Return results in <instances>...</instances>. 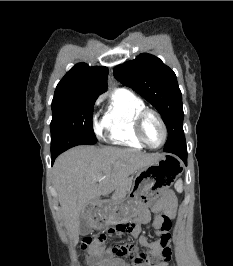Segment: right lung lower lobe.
Here are the masks:
<instances>
[{"label":"right lung lower lobe","mask_w":233,"mask_h":266,"mask_svg":"<svg viewBox=\"0 0 233 266\" xmlns=\"http://www.w3.org/2000/svg\"><path fill=\"white\" fill-rule=\"evenodd\" d=\"M59 154H60V153L51 154V157H52V164H53L54 160L56 159V157H57Z\"/></svg>","instance_id":"1"}]
</instances>
